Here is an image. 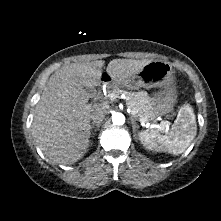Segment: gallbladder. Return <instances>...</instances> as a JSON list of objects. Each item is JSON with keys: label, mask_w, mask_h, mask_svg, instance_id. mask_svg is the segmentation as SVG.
I'll use <instances>...</instances> for the list:
<instances>
[{"label": "gallbladder", "mask_w": 221, "mask_h": 221, "mask_svg": "<svg viewBox=\"0 0 221 221\" xmlns=\"http://www.w3.org/2000/svg\"><path fill=\"white\" fill-rule=\"evenodd\" d=\"M86 91H87L90 95H93V93H94V89H92V88H86Z\"/></svg>", "instance_id": "gallbladder-1"}]
</instances>
